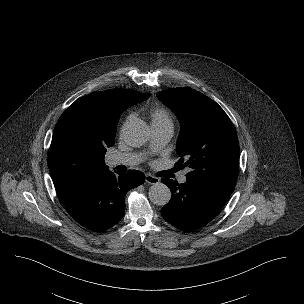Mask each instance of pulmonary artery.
Listing matches in <instances>:
<instances>
[{
    "instance_id": "pulmonary-artery-1",
    "label": "pulmonary artery",
    "mask_w": 304,
    "mask_h": 304,
    "mask_svg": "<svg viewBox=\"0 0 304 304\" xmlns=\"http://www.w3.org/2000/svg\"><path fill=\"white\" fill-rule=\"evenodd\" d=\"M173 135L172 126H152V137L150 149L151 151H158L165 146ZM144 159V156L136 153H121L111 157L110 163L113 166L125 165L133 166L139 164ZM187 181L186 174H182L179 177L181 184Z\"/></svg>"
}]
</instances>
